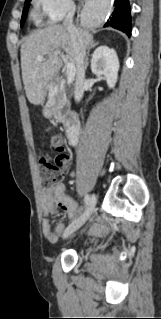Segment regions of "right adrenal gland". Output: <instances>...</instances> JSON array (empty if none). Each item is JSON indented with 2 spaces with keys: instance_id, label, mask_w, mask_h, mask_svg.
I'll list each match as a JSON object with an SVG mask.
<instances>
[{
  "instance_id": "2a0ac1e0",
  "label": "right adrenal gland",
  "mask_w": 161,
  "mask_h": 319,
  "mask_svg": "<svg viewBox=\"0 0 161 319\" xmlns=\"http://www.w3.org/2000/svg\"><path fill=\"white\" fill-rule=\"evenodd\" d=\"M98 45V42H93L90 44L89 48H88V52H87V57H86V60H85V69H87L88 65H89V53H90V50L94 47H96Z\"/></svg>"
}]
</instances>
